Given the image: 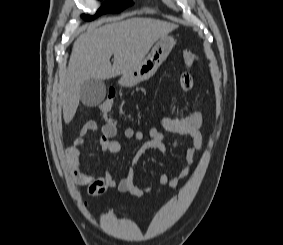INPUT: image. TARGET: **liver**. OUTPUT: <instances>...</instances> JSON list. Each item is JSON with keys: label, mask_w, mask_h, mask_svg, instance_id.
Segmentation results:
<instances>
[{"label": "liver", "mask_w": 283, "mask_h": 245, "mask_svg": "<svg viewBox=\"0 0 283 245\" xmlns=\"http://www.w3.org/2000/svg\"><path fill=\"white\" fill-rule=\"evenodd\" d=\"M176 28L172 23L150 18L114 19L105 25L98 23L81 34L74 42L63 77L65 123H70L76 113L80 88L86 80H105L127 73L143 61L156 41Z\"/></svg>", "instance_id": "1"}]
</instances>
